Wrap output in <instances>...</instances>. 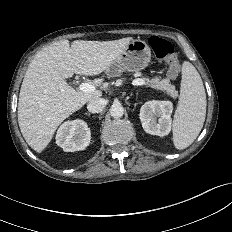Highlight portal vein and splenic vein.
I'll return each mask as SVG.
<instances>
[{"mask_svg":"<svg viewBox=\"0 0 232 232\" xmlns=\"http://www.w3.org/2000/svg\"><path fill=\"white\" fill-rule=\"evenodd\" d=\"M133 85L144 86V85H147V82L144 79H135L133 81ZM79 89L82 92H94L96 90L95 86L90 83H81L79 86Z\"/></svg>","mask_w":232,"mask_h":232,"instance_id":"obj_1","label":"portal vein and splenic vein"}]
</instances>
